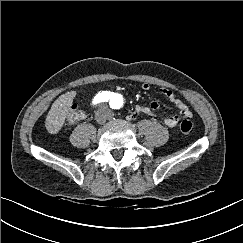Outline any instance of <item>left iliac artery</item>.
Instances as JSON below:
<instances>
[{
	"label": "left iliac artery",
	"instance_id": "44dca946",
	"mask_svg": "<svg viewBox=\"0 0 243 243\" xmlns=\"http://www.w3.org/2000/svg\"><path fill=\"white\" fill-rule=\"evenodd\" d=\"M110 106L112 108H119L121 106V98L119 95H113L112 99L110 100Z\"/></svg>",
	"mask_w": 243,
	"mask_h": 243
}]
</instances>
